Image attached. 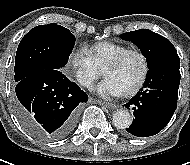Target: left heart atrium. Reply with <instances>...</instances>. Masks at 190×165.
Masks as SVG:
<instances>
[{"label":"left heart atrium","mask_w":190,"mask_h":165,"mask_svg":"<svg viewBox=\"0 0 190 165\" xmlns=\"http://www.w3.org/2000/svg\"><path fill=\"white\" fill-rule=\"evenodd\" d=\"M95 90L102 96H118L123 93L120 87L109 78L102 81Z\"/></svg>","instance_id":"obj_1"}]
</instances>
